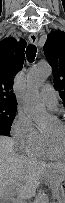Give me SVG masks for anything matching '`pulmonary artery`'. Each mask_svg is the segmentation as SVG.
I'll use <instances>...</instances> for the list:
<instances>
[{
  "mask_svg": "<svg viewBox=\"0 0 65 203\" xmlns=\"http://www.w3.org/2000/svg\"><path fill=\"white\" fill-rule=\"evenodd\" d=\"M41 97L50 109H54L58 103L56 93L50 85H45L40 92Z\"/></svg>",
  "mask_w": 65,
  "mask_h": 203,
  "instance_id": "obj_1",
  "label": "pulmonary artery"
}]
</instances>
